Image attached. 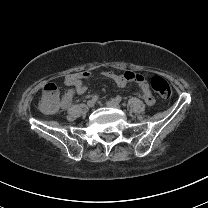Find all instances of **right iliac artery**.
I'll list each match as a JSON object with an SVG mask.
<instances>
[{"instance_id": "obj_1", "label": "right iliac artery", "mask_w": 208, "mask_h": 208, "mask_svg": "<svg viewBox=\"0 0 208 208\" xmlns=\"http://www.w3.org/2000/svg\"><path fill=\"white\" fill-rule=\"evenodd\" d=\"M98 98L99 97L97 95L92 96V100L95 101V102L98 100Z\"/></svg>"}]
</instances>
